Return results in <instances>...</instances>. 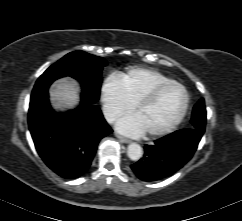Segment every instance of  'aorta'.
I'll return each mask as SVG.
<instances>
[{"instance_id":"aorta-1","label":"aorta","mask_w":242,"mask_h":221,"mask_svg":"<svg viewBox=\"0 0 242 221\" xmlns=\"http://www.w3.org/2000/svg\"><path fill=\"white\" fill-rule=\"evenodd\" d=\"M127 155L132 161H138L142 155V147L137 143H131L127 148Z\"/></svg>"}]
</instances>
